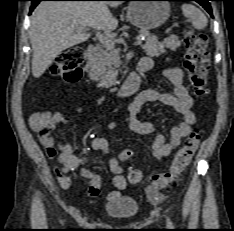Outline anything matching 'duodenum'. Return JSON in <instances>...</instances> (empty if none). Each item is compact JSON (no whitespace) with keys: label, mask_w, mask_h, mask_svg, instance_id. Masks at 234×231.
<instances>
[{"label":"duodenum","mask_w":234,"mask_h":231,"mask_svg":"<svg viewBox=\"0 0 234 231\" xmlns=\"http://www.w3.org/2000/svg\"><path fill=\"white\" fill-rule=\"evenodd\" d=\"M97 52V47L94 44H91L86 49V57L92 58ZM150 64H138L137 70L132 73L128 79L124 82V84L116 91V96L119 98L129 97L136 92L138 89L141 76L146 71L150 70Z\"/></svg>","instance_id":"410a0bca"}]
</instances>
